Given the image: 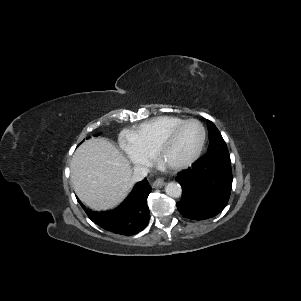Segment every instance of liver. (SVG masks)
<instances>
[{
  "instance_id": "obj_1",
  "label": "liver",
  "mask_w": 301,
  "mask_h": 301,
  "mask_svg": "<svg viewBox=\"0 0 301 301\" xmlns=\"http://www.w3.org/2000/svg\"><path fill=\"white\" fill-rule=\"evenodd\" d=\"M70 171L76 195L95 210L118 205L134 183L129 161L103 138L82 143L72 157Z\"/></svg>"
}]
</instances>
